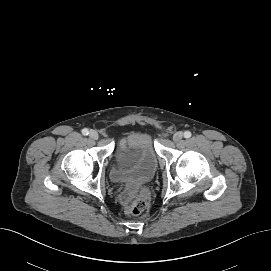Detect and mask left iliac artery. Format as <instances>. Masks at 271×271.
<instances>
[{"mask_svg":"<svg viewBox=\"0 0 271 271\" xmlns=\"http://www.w3.org/2000/svg\"><path fill=\"white\" fill-rule=\"evenodd\" d=\"M191 135H192V134H191L190 131H185V132H184V137H185V138H190Z\"/></svg>","mask_w":271,"mask_h":271,"instance_id":"44dca946","label":"left iliac artery"}]
</instances>
